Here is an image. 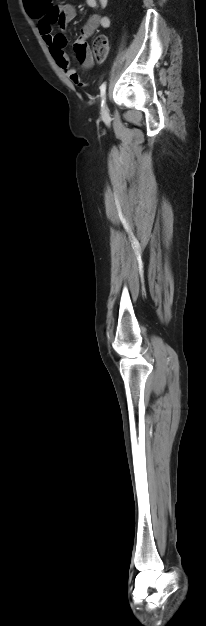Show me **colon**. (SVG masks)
Listing matches in <instances>:
<instances>
[{"label":"colon","instance_id":"colon-1","mask_svg":"<svg viewBox=\"0 0 206 626\" xmlns=\"http://www.w3.org/2000/svg\"><path fill=\"white\" fill-rule=\"evenodd\" d=\"M109 53V43L105 36H98L94 42L92 47V55L94 59L98 62L104 61Z\"/></svg>","mask_w":206,"mask_h":626}]
</instances>
